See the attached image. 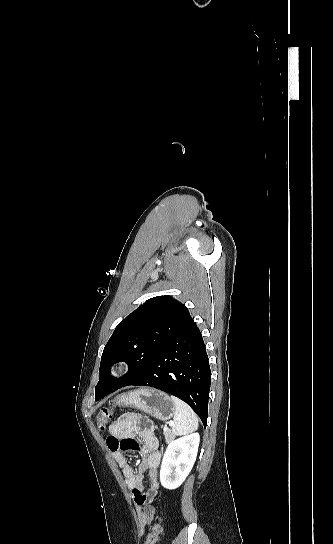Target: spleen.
Masks as SVG:
<instances>
[{
  "mask_svg": "<svg viewBox=\"0 0 333 544\" xmlns=\"http://www.w3.org/2000/svg\"><path fill=\"white\" fill-rule=\"evenodd\" d=\"M171 400L175 405L173 434L184 435L197 430L198 419L190 406L175 396H171Z\"/></svg>",
  "mask_w": 333,
  "mask_h": 544,
  "instance_id": "3e777b00",
  "label": "spleen"
}]
</instances>
